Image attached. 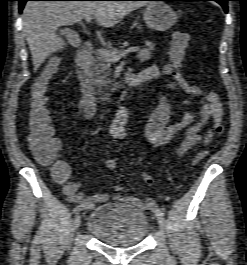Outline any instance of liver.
<instances>
[{
  "label": "liver",
  "mask_w": 247,
  "mask_h": 265,
  "mask_svg": "<svg viewBox=\"0 0 247 265\" xmlns=\"http://www.w3.org/2000/svg\"><path fill=\"white\" fill-rule=\"evenodd\" d=\"M142 1H28L22 21L34 70L52 53L65 47L56 34L64 25H73L86 16H94L100 26L117 25L127 14L144 6Z\"/></svg>",
  "instance_id": "obj_1"
}]
</instances>
